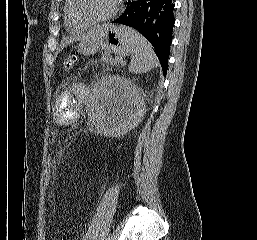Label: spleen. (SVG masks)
<instances>
[{"instance_id":"3e777b00","label":"spleen","mask_w":257,"mask_h":240,"mask_svg":"<svg viewBox=\"0 0 257 240\" xmlns=\"http://www.w3.org/2000/svg\"><path fill=\"white\" fill-rule=\"evenodd\" d=\"M127 33L129 49L132 54L129 71L146 73L158 67V60L151 44L136 30L121 26Z\"/></svg>"}]
</instances>
